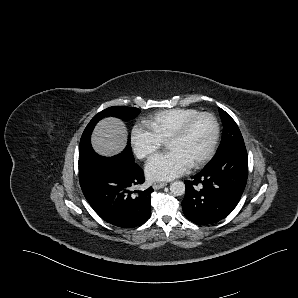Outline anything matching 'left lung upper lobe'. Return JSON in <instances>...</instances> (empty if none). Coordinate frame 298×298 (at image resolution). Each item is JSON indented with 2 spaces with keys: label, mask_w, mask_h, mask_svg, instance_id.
<instances>
[{
  "label": "left lung upper lobe",
  "mask_w": 298,
  "mask_h": 298,
  "mask_svg": "<svg viewBox=\"0 0 298 298\" xmlns=\"http://www.w3.org/2000/svg\"><path fill=\"white\" fill-rule=\"evenodd\" d=\"M219 113L224 128L221 143L213 159L221 156L232 148L244 146L241 132L232 117L221 108H219Z\"/></svg>",
  "instance_id": "1"
}]
</instances>
